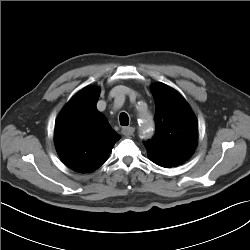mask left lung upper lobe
I'll list each match as a JSON object with an SVG mask.
<instances>
[{"label": "left lung upper lobe", "mask_w": 250, "mask_h": 250, "mask_svg": "<svg viewBox=\"0 0 250 250\" xmlns=\"http://www.w3.org/2000/svg\"><path fill=\"white\" fill-rule=\"evenodd\" d=\"M151 91L156 107V133L144 142L148 157L184 162L197 144L196 117L184 98L170 86L155 84Z\"/></svg>", "instance_id": "1"}]
</instances>
